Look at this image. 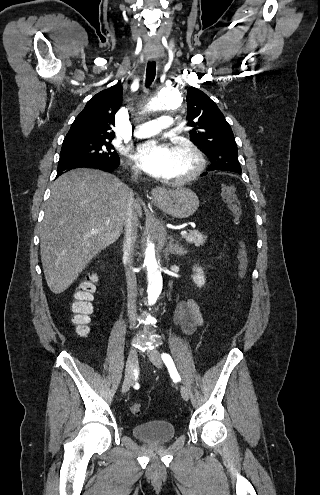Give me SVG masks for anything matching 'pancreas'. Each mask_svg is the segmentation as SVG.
Masks as SVG:
<instances>
[{"label":"pancreas","mask_w":320,"mask_h":495,"mask_svg":"<svg viewBox=\"0 0 320 495\" xmlns=\"http://www.w3.org/2000/svg\"><path fill=\"white\" fill-rule=\"evenodd\" d=\"M184 238L189 244H194L197 247L202 246L207 239L203 233H200L197 230L190 231L188 234L184 235Z\"/></svg>","instance_id":"obj_1"}]
</instances>
